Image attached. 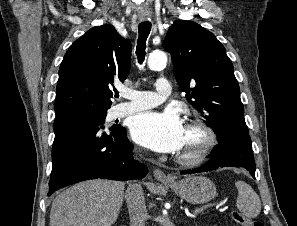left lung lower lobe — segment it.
<instances>
[{
	"mask_svg": "<svg viewBox=\"0 0 297 226\" xmlns=\"http://www.w3.org/2000/svg\"><path fill=\"white\" fill-rule=\"evenodd\" d=\"M218 140L219 144L212 150L209 156L211 159L205 165L194 170L182 171L181 173H198L221 167H243L255 178L256 165L250 136L243 139L225 137Z\"/></svg>",
	"mask_w": 297,
	"mask_h": 226,
	"instance_id": "left-lung-lower-lobe-1",
	"label": "left lung lower lobe"
}]
</instances>
